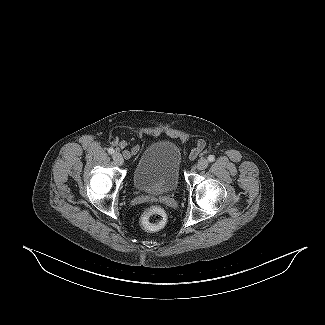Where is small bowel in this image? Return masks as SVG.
Returning <instances> with one entry per match:
<instances>
[{"instance_id": "small-bowel-1", "label": "small bowel", "mask_w": 325, "mask_h": 325, "mask_svg": "<svg viewBox=\"0 0 325 325\" xmlns=\"http://www.w3.org/2000/svg\"><path fill=\"white\" fill-rule=\"evenodd\" d=\"M114 145L123 150V154L126 158H129L131 155H133L135 152H136V149L135 148H132L130 150H127L126 149V142L123 141V140H116L114 141ZM200 147H202V145H200Z\"/></svg>"}]
</instances>
